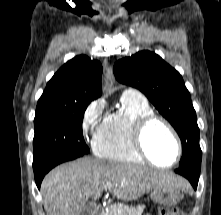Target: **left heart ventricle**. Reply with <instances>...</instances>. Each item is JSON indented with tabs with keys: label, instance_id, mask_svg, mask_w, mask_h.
Wrapping results in <instances>:
<instances>
[{
	"label": "left heart ventricle",
	"instance_id": "b2bd125f",
	"mask_svg": "<svg viewBox=\"0 0 221 215\" xmlns=\"http://www.w3.org/2000/svg\"><path fill=\"white\" fill-rule=\"evenodd\" d=\"M144 145L149 156L158 164L168 165L176 157V144L170 132L159 122L146 130Z\"/></svg>",
	"mask_w": 221,
	"mask_h": 215
}]
</instances>
